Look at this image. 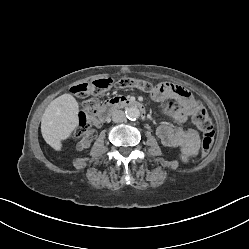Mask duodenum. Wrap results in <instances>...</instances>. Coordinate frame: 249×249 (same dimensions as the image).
<instances>
[{
	"instance_id": "410a0bca",
	"label": "duodenum",
	"mask_w": 249,
	"mask_h": 249,
	"mask_svg": "<svg viewBox=\"0 0 249 249\" xmlns=\"http://www.w3.org/2000/svg\"><path fill=\"white\" fill-rule=\"evenodd\" d=\"M134 107L139 110L141 114H145V108L137 101L125 97H115L110 99L105 105L101 107L99 119L106 121L110 118L111 114L118 108Z\"/></svg>"
}]
</instances>
